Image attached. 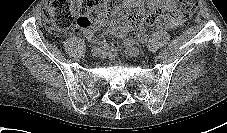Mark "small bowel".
<instances>
[{
    "mask_svg": "<svg viewBox=\"0 0 227 133\" xmlns=\"http://www.w3.org/2000/svg\"><path fill=\"white\" fill-rule=\"evenodd\" d=\"M151 9H164L167 11L164 22L158 23L163 28H177L183 23V18L176 13L175 0H147ZM143 0H123L121 8L109 20H98L95 24L84 31V36L91 39L94 32L106 24L105 34L114 35L119 38L126 36L131 30H135L138 35L143 33V27L132 21L130 11L133 8L143 10ZM148 25L155 23L146 22Z\"/></svg>",
    "mask_w": 227,
    "mask_h": 133,
    "instance_id": "1",
    "label": "small bowel"
}]
</instances>
